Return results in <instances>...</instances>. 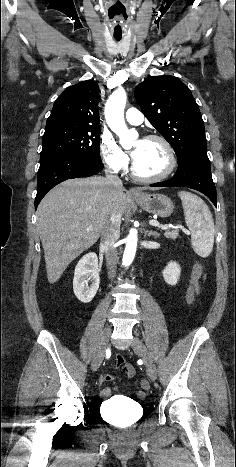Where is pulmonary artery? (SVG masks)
<instances>
[{
    "instance_id": "e3ab8cb5",
    "label": "pulmonary artery",
    "mask_w": 236,
    "mask_h": 467,
    "mask_svg": "<svg viewBox=\"0 0 236 467\" xmlns=\"http://www.w3.org/2000/svg\"><path fill=\"white\" fill-rule=\"evenodd\" d=\"M126 120L133 125H139L143 122V114L136 108H129L125 114Z\"/></svg>"
}]
</instances>
